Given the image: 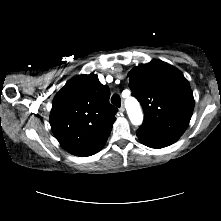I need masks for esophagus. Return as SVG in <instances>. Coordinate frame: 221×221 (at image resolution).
<instances>
[{"label": "esophagus", "instance_id": "esophagus-1", "mask_svg": "<svg viewBox=\"0 0 221 221\" xmlns=\"http://www.w3.org/2000/svg\"><path fill=\"white\" fill-rule=\"evenodd\" d=\"M119 111H120V113H124L125 108H124V106H123V105H122V106L119 108Z\"/></svg>", "mask_w": 221, "mask_h": 221}]
</instances>
